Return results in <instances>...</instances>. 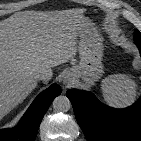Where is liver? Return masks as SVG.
Returning <instances> with one entry per match:
<instances>
[{"label": "liver", "mask_w": 141, "mask_h": 141, "mask_svg": "<svg viewBox=\"0 0 141 141\" xmlns=\"http://www.w3.org/2000/svg\"><path fill=\"white\" fill-rule=\"evenodd\" d=\"M83 9L21 11L0 21V120L37 86L34 74L73 59L91 26Z\"/></svg>", "instance_id": "6515ba94"}]
</instances>
